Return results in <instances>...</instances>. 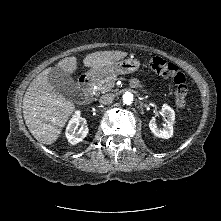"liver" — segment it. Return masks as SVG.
Listing matches in <instances>:
<instances>
[{
  "mask_svg": "<svg viewBox=\"0 0 221 221\" xmlns=\"http://www.w3.org/2000/svg\"><path fill=\"white\" fill-rule=\"evenodd\" d=\"M127 56L122 51H100L88 54L83 63L85 67L102 69ZM55 67L67 74L77 69V58L66 57ZM47 68L37 75L27 88L23 98V115L25 123L40 143L51 145L61 134L69 118L75 111V105L59 93L48 81Z\"/></svg>",
  "mask_w": 221,
  "mask_h": 221,
  "instance_id": "1",
  "label": "liver"
}]
</instances>
